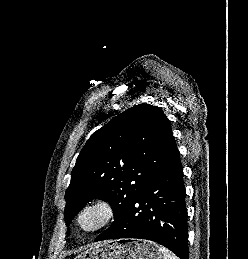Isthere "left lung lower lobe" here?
<instances>
[{
	"label": "left lung lower lobe",
	"mask_w": 248,
	"mask_h": 259,
	"mask_svg": "<svg viewBox=\"0 0 248 259\" xmlns=\"http://www.w3.org/2000/svg\"><path fill=\"white\" fill-rule=\"evenodd\" d=\"M186 191L179 152L95 242L139 238L157 242L188 259Z\"/></svg>",
	"instance_id": "left-lung-lower-lobe-1"
}]
</instances>
